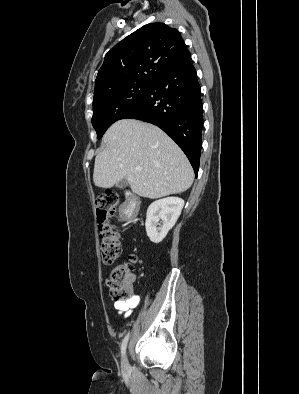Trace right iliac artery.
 Masks as SVG:
<instances>
[{
  "instance_id": "right-iliac-artery-1",
  "label": "right iliac artery",
  "mask_w": 299,
  "mask_h": 394,
  "mask_svg": "<svg viewBox=\"0 0 299 394\" xmlns=\"http://www.w3.org/2000/svg\"><path fill=\"white\" fill-rule=\"evenodd\" d=\"M129 334L130 333L128 332L127 335L125 336V338L122 341V345H121V353H122V355L125 354L127 343H128V339H129Z\"/></svg>"
}]
</instances>
